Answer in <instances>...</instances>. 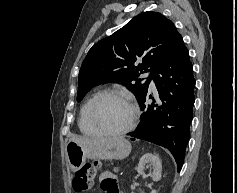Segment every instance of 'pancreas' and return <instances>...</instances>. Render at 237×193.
Instances as JSON below:
<instances>
[{
    "instance_id": "cf45deb5",
    "label": "pancreas",
    "mask_w": 237,
    "mask_h": 193,
    "mask_svg": "<svg viewBox=\"0 0 237 193\" xmlns=\"http://www.w3.org/2000/svg\"><path fill=\"white\" fill-rule=\"evenodd\" d=\"M118 170H119V168H117V167H115V168L113 169L114 172H118Z\"/></svg>"
}]
</instances>
